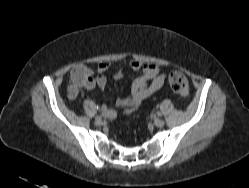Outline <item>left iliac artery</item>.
Returning a JSON list of instances; mask_svg holds the SVG:
<instances>
[{
    "label": "left iliac artery",
    "instance_id": "obj_1",
    "mask_svg": "<svg viewBox=\"0 0 249 188\" xmlns=\"http://www.w3.org/2000/svg\"><path fill=\"white\" fill-rule=\"evenodd\" d=\"M157 116H158V117H161V116H162V113H161V112H157Z\"/></svg>",
    "mask_w": 249,
    "mask_h": 188
}]
</instances>
